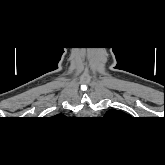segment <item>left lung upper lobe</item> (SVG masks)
Segmentation results:
<instances>
[{"mask_svg":"<svg viewBox=\"0 0 165 165\" xmlns=\"http://www.w3.org/2000/svg\"><path fill=\"white\" fill-rule=\"evenodd\" d=\"M107 115L112 116V117H114V116L117 117V116H123L125 114L122 111H117V110L111 109L107 112Z\"/></svg>","mask_w":165,"mask_h":165,"instance_id":"left-lung-upper-lobe-1","label":"left lung upper lobe"}]
</instances>
